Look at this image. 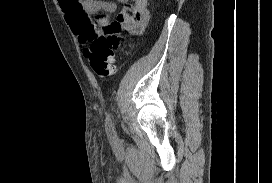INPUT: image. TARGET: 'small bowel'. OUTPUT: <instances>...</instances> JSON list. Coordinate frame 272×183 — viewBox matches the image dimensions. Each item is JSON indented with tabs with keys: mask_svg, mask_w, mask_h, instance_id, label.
Here are the masks:
<instances>
[{
	"mask_svg": "<svg viewBox=\"0 0 272 183\" xmlns=\"http://www.w3.org/2000/svg\"><path fill=\"white\" fill-rule=\"evenodd\" d=\"M125 5L111 22L109 17L101 12L113 13L116 5L113 2L101 0H59L66 21L72 32L78 36L81 43H89L100 34L117 36V31H123V36H139L149 21L148 0H118ZM95 15L94 19L91 16ZM119 25H111L112 23Z\"/></svg>",
	"mask_w": 272,
	"mask_h": 183,
	"instance_id": "c3829d8e",
	"label": "small bowel"
}]
</instances>
